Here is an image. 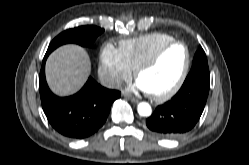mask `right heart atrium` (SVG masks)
<instances>
[{"label": "right heart atrium", "mask_w": 249, "mask_h": 165, "mask_svg": "<svg viewBox=\"0 0 249 165\" xmlns=\"http://www.w3.org/2000/svg\"><path fill=\"white\" fill-rule=\"evenodd\" d=\"M98 73L107 86L117 88L131 77L132 70L125 62L121 51L111 44H106L100 52Z\"/></svg>", "instance_id": "1"}]
</instances>
